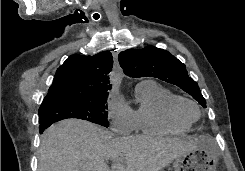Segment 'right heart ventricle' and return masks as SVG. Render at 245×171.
Segmentation results:
<instances>
[{
  "mask_svg": "<svg viewBox=\"0 0 245 171\" xmlns=\"http://www.w3.org/2000/svg\"><path fill=\"white\" fill-rule=\"evenodd\" d=\"M175 95L153 80L136 86L137 108L132 111L135 129L144 134L167 135L184 133L190 125L175 120L168 111V102Z\"/></svg>",
  "mask_w": 245,
  "mask_h": 171,
  "instance_id": "1",
  "label": "right heart ventricle"
}]
</instances>
